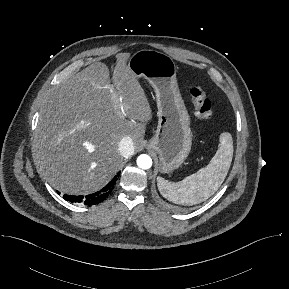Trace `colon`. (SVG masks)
Returning <instances> with one entry per match:
<instances>
[{"mask_svg": "<svg viewBox=\"0 0 289 289\" xmlns=\"http://www.w3.org/2000/svg\"><path fill=\"white\" fill-rule=\"evenodd\" d=\"M192 103L194 105L195 116L204 122L212 118L211 101L200 86H193L190 90Z\"/></svg>", "mask_w": 289, "mask_h": 289, "instance_id": "colon-1", "label": "colon"}]
</instances>
